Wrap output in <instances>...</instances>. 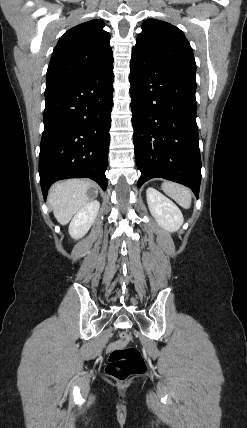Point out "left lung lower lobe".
<instances>
[{"instance_id": "obj_1", "label": "left lung lower lobe", "mask_w": 247, "mask_h": 428, "mask_svg": "<svg viewBox=\"0 0 247 428\" xmlns=\"http://www.w3.org/2000/svg\"><path fill=\"white\" fill-rule=\"evenodd\" d=\"M130 94L138 187L161 177L188 186L198 198L201 158L196 81L132 53Z\"/></svg>"}]
</instances>
